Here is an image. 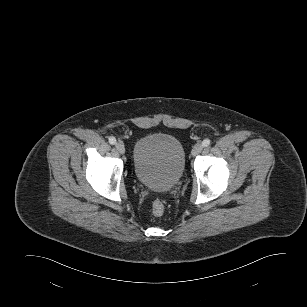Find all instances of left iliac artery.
Instances as JSON below:
<instances>
[{
	"mask_svg": "<svg viewBox=\"0 0 307 307\" xmlns=\"http://www.w3.org/2000/svg\"><path fill=\"white\" fill-rule=\"evenodd\" d=\"M210 143H211V141L209 139H204L203 142H202V146L207 147V146L210 145Z\"/></svg>",
	"mask_w": 307,
	"mask_h": 307,
	"instance_id": "1",
	"label": "left iliac artery"
}]
</instances>
